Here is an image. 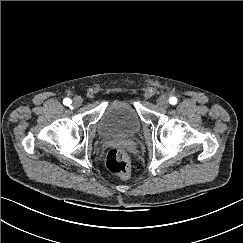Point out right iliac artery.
Wrapping results in <instances>:
<instances>
[{
    "instance_id": "right-iliac-artery-1",
    "label": "right iliac artery",
    "mask_w": 243,
    "mask_h": 243,
    "mask_svg": "<svg viewBox=\"0 0 243 243\" xmlns=\"http://www.w3.org/2000/svg\"><path fill=\"white\" fill-rule=\"evenodd\" d=\"M71 99H69V98H65L64 100H63V103H64V105H66V106H69L70 104H71Z\"/></svg>"
}]
</instances>
